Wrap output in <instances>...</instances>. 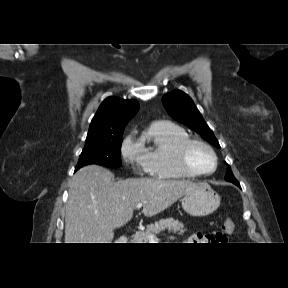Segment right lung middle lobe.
<instances>
[{
	"instance_id": "dd1d6c3e",
	"label": "right lung middle lobe",
	"mask_w": 288,
	"mask_h": 288,
	"mask_svg": "<svg viewBox=\"0 0 288 288\" xmlns=\"http://www.w3.org/2000/svg\"><path fill=\"white\" fill-rule=\"evenodd\" d=\"M122 134L123 132H120L86 141L75 171L89 164L121 166Z\"/></svg>"
}]
</instances>
